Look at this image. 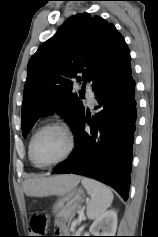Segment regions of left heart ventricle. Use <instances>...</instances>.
Listing matches in <instances>:
<instances>
[{
  "mask_svg": "<svg viewBox=\"0 0 158 237\" xmlns=\"http://www.w3.org/2000/svg\"><path fill=\"white\" fill-rule=\"evenodd\" d=\"M68 147V138L58 128L43 131L35 140L34 156L40 163H48L61 157Z\"/></svg>",
  "mask_w": 158,
  "mask_h": 237,
  "instance_id": "left-heart-ventricle-1",
  "label": "left heart ventricle"
}]
</instances>
